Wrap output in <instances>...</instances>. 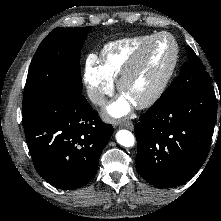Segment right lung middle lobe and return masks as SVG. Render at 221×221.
I'll return each instance as SVG.
<instances>
[{"mask_svg": "<svg viewBox=\"0 0 221 221\" xmlns=\"http://www.w3.org/2000/svg\"><path fill=\"white\" fill-rule=\"evenodd\" d=\"M91 29L57 27L42 41L29 68L22 116L51 93L82 90L80 52Z\"/></svg>", "mask_w": 221, "mask_h": 221, "instance_id": "right-lung-middle-lobe-1", "label": "right lung middle lobe"}]
</instances>
